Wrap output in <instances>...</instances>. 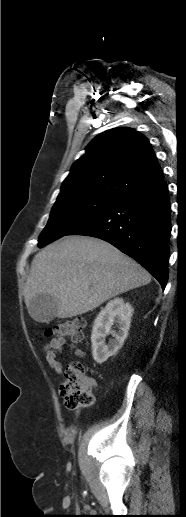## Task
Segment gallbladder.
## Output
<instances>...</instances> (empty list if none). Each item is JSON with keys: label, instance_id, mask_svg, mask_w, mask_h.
<instances>
[{"label": "gallbladder", "instance_id": "obj_1", "mask_svg": "<svg viewBox=\"0 0 186 517\" xmlns=\"http://www.w3.org/2000/svg\"><path fill=\"white\" fill-rule=\"evenodd\" d=\"M57 307V302L52 296L40 294L30 301L28 312L36 321L50 322L55 318Z\"/></svg>", "mask_w": 186, "mask_h": 517}]
</instances>
